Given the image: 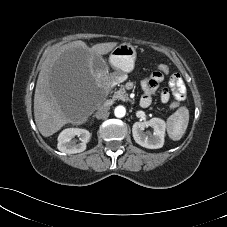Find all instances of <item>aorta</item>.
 Instances as JSON below:
<instances>
[{
	"mask_svg": "<svg viewBox=\"0 0 227 227\" xmlns=\"http://www.w3.org/2000/svg\"><path fill=\"white\" fill-rule=\"evenodd\" d=\"M114 114H115V116L118 117V118L124 117L125 114H126V109H125V107L122 106V105L117 106V107L115 108V110H114Z\"/></svg>",
	"mask_w": 227,
	"mask_h": 227,
	"instance_id": "762f6f07",
	"label": "aorta"
}]
</instances>
